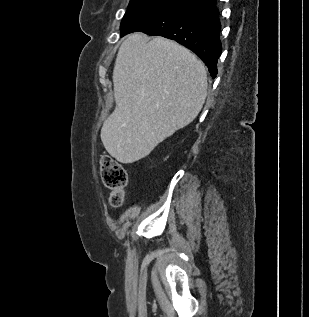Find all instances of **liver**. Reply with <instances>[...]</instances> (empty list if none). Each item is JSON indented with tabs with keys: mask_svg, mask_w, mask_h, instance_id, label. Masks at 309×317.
I'll return each instance as SVG.
<instances>
[{
	"mask_svg": "<svg viewBox=\"0 0 309 317\" xmlns=\"http://www.w3.org/2000/svg\"><path fill=\"white\" fill-rule=\"evenodd\" d=\"M113 84L116 107L101 140L117 161L133 163L197 117L207 96V70L178 43L133 33L119 48Z\"/></svg>",
	"mask_w": 309,
	"mask_h": 317,
	"instance_id": "1",
	"label": "liver"
}]
</instances>
